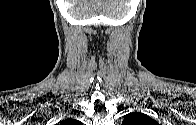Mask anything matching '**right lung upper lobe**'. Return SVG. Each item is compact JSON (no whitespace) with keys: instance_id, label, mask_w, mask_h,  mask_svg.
<instances>
[{"instance_id":"obj_1","label":"right lung upper lobe","mask_w":196,"mask_h":125,"mask_svg":"<svg viewBox=\"0 0 196 125\" xmlns=\"http://www.w3.org/2000/svg\"><path fill=\"white\" fill-rule=\"evenodd\" d=\"M71 122H73L72 120H65V121H63V124H68V123H71Z\"/></svg>"}]
</instances>
